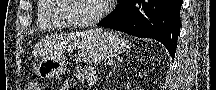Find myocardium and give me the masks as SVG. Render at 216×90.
I'll return each instance as SVG.
<instances>
[{
  "instance_id": "myocardium-1",
  "label": "myocardium",
  "mask_w": 216,
  "mask_h": 90,
  "mask_svg": "<svg viewBox=\"0 0 216 90\" xmlns=\"http://www.w3.org/2000/svg\"><path fill=\"white\" fill-rule=\"evenodd\" d=\"M71 3H73V0H60L61 8L57 11L58 18H63L71 28H92L104 18L109 10L108 4L102 1L101 9L95 17L87 21H78L70 16L71 9L73 8Z\"/></svg>"
}]
</instances>
